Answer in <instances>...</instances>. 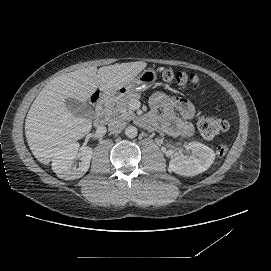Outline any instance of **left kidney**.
I'll list each match as a JSON object with an SVG mask.
<instances>
[{
	"label": "left kidney",
	"mask_w": 271,
	"mask_h": 271,
	"mask_svg": "<svg viewBox=\"0 0 271 271\" xmlns=\"http://www.w3.org/2000/svg\"><path fill=\"white\" fill-rule=\"evenodd\" d=\"M177 150L169 162L172 171L180 175H198L207 170L215 159V153L212 149L199 142L176 143ZM187 149L190 156L186 157L183 150Z\"/></svg>",
	"instance_id": "obj_1"
}]
</instances>
